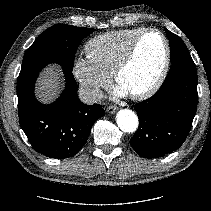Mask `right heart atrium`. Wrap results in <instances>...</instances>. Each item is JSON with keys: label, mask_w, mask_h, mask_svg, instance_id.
<instances>
[{"label": "right heart atrium", "mask_w": 211, "mask_h": 211, "mask_svg": "<svg viewBox=\"0 0 211 211\" xmlns=\"http://www.w3.org/2000/svg\"><path fill=\"white\" fill-rule=\"evenodd\" d=\"M73 74L79 83L81 95L88 102H96L100 99L111 77L102 72L88 57L75 59Z\"/></svg>", "instance_id": "1"}]
</instances>
